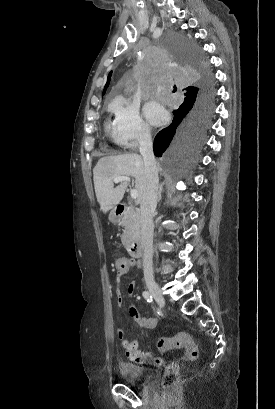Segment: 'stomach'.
Returning <instances> with one entry per match:
<instances>
[{
	"label": "stomach",
	"instance_id": "0dacf381",
	"mask_svg": "<svg viewBox=\"0 0 275 409\" xmlns=\"http://www.w3.org/2000/svg\"><path fill=\"white\" fill-rule=\"evenodd\" d=\"M109 221L110 223H119V219L113 209V211H111L110 215H109Z\"/></svg>",
	"mask_w": 275,
	"mask_h": 409
}]
</instances>
